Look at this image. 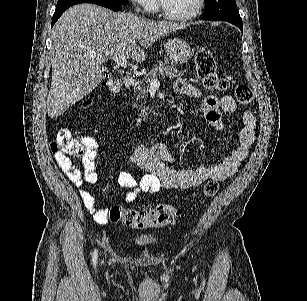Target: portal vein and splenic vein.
I'll use <instances>...</instances> for the list:
<instances>
[{
    "mask_svg": "<svg viewBox=\"0 0 307 301\" xmlns=\"http://www.w3.org/2000/svg\"><path fill=\"white\" fill-rule=\"evenodd\" d=\"M112 60H115L116 64L119 66H128V60L126 54H116V56H112ZM150 86H160V80L158 78H151Z\"/></svg>",
    "mask_w": 307,
    "mask_h": 301,
    "instance_id": "18ae733b",
    "label": "portal vein and splenic vein"
}]
</instances>
